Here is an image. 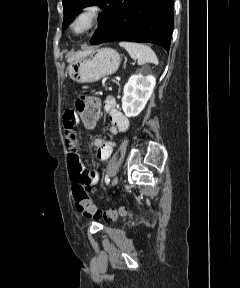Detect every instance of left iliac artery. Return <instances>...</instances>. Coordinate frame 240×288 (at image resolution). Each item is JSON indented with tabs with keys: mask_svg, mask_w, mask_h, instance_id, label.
<instances>
[{
	"mask_svg": "<svg viewBox=\"0 0 240 288\" xmlns=\"http://www.w3.org/2000/svg\"><path fill=\"white\" fill-rule=\"evenodd\" d=\"M109 181H110V179H109V176H108V175H106V176H105V182H106V184H108V183H109Z\"/></svg>",
	"mask_w": 240,
	"mask_h": 288,
	"instance_id": "1",
	"label": "left iliac artery"
}]
</instances>
